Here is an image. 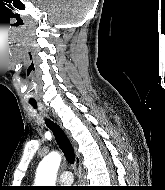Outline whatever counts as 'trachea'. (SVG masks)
<instances>
[{
    "label": "trachea",
    "mask_w": 165,
    "mask_h": 190,
    "mask_svg": "<svg viewBox=\"0 0 165 190\" xmlns=\"http://www.w3.org/2000/svg\"><path fill=\"white\" fill-rule=\"evenodd\" d=\"M31 105L34 108H37L36 103H31ZM46 124L53 132L55 139L57 141V144L59 145L60 149L64 153L66 160L70 164H74L75 163V153H74L73 147H72L69 139L65 135V133L62 131V129L57 124H55L51 120H46Z\"/></svg>",
    "instance_id": "obj_1"
}]
</instances>
